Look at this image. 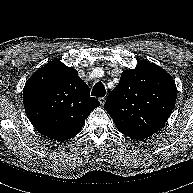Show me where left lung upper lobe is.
Returning a JSON list of instances; mask_svg holds the SVG:
<instances>
[{
  "mask_svg": "<svg viewBox=\"0 0 193 193\" xmlns=\"http://www.w3.org/2000/svg\"><path fill=\"white\" fill-rule=\"evenodd\" d=\"M177 97L175 82L164 69L141 60L122 72L104 108L118 130L132 139H145L168 120Z\"/></svg>",
  "mask_w": 193,
  "mask_h": 193,
  "instance_id": "obj_1",
  "label": "left lung upper lobe"
}]
</instances>
